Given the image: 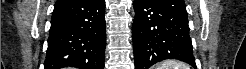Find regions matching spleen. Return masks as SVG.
<instances>
[{
  "label": "spleen",
  "instance_id": "1",
  "mask_svg": "<svg viewBox=\"0 0 246 69\" xmlns=\"http://www.w3.org/2000/svg\"><path fill=\"white\" fill-rule=\"evenodd\" d=\"M156 69H190V67L186 63L180 61L166 60L160 65H157Z\"/></svg>",
  "mask_w": 246,
  "mask_h": 69
}]
</instances>
